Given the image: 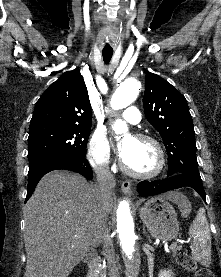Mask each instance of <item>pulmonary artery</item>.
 Wrapping results in <instances>:
<instances>
[{
    "label": "pulmonary artery",
    "mask_w": 221,
    "mask_h": 277,
    "mask_svg": "<svg viewBox=\"0 0 221 277\" xmlns=\"http://www.w3.org/2000/svg\"><path fill=\"white\" fill-rule=\"evenodd\" d=\"M121 117L131 124H138L141 120L140 111L135 106H130L126 108L121 114Z\"/></svg>",
    "instance_id": "e3ab8cb5"
}]
</instances>
